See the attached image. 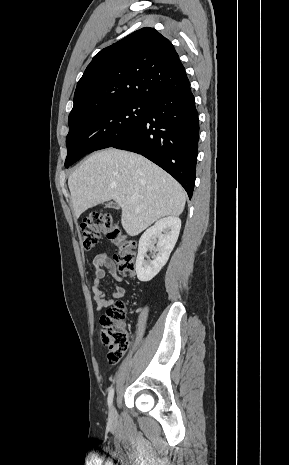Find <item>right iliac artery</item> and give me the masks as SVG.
Returning a JSON list of instances; mask_svg holds the SVG:
<instances>
[{"label":"right iliac artery","instance_id":"obj_1","mask_svg":"<svg viewBox=\"0 0 289 465\" xmlns=\"http://www.w3.org/2000/svg\"><path fill=\"white\" fill-rule=\"evenodd\" d=\"M113 396H114V388L111 387V388L109 389V394H108V399H107V401H108V406H109V407H111V405H112Z\"/></svg>","mask_w":289,"mask_h":465}]
</instances>
